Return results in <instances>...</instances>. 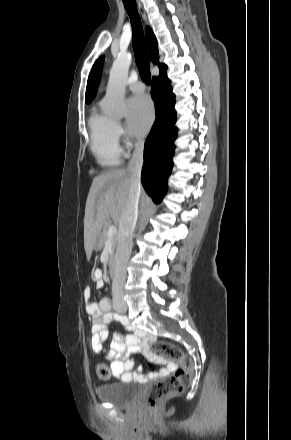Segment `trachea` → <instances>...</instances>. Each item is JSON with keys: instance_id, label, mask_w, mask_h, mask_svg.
I'll use <instances>...</instances> for the list:
<instances>
[{"instance_id": "1", "label": "trachea", "mask_w": 291, "mask_h": 440, "mask_svg": "<svg viewBox=\"0 0 291 440\" xmlns=\"http://www.w3.org/2000/svg\"><path fill=\"white\" fill-rule=\"evenodd\" d=\"M125 9L130 16L133 31V50L135 61L142 80L149 85L151 80L150 63L148 59L143 28L136 9L135 0H123Z\"/></svg>"}]
</instances>
